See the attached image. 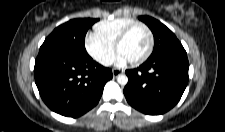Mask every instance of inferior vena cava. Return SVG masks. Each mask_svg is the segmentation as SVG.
<instances>
[{
  "label": "inferior vena cava",
  "mask_w": 225,
  "mask_h": 132,
  "mask_svg": "<svg viewBox=\"0 0 225 132\" xmlns=\"http://www.w3.org/2000/svg\"><path fill=\"white\" fill-rule=\"evenodd\" d=\"M113 63V59L109 58V59H104L101 61V64L105 65V66H109Z\"/></svg>",
  "instance_id": "1"
}]
</instances>
